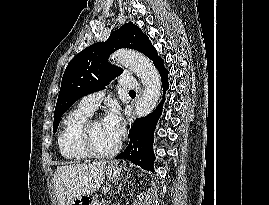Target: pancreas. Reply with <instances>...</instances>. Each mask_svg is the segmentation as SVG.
Returning <instances> with one entry per match:
<instances>
[{
    "label": "pancreas",
    "mask_w": 269,
    "mask_h": 205,
    "mask_svg": "<svg viewBox=\"0 0 269 205\" xmlns=\"http://www.w3.org/2000/svg\"><path fill=\"white\" fill-rule=\"evenodd\" d=\"M96 205H106V202L102 201V202L97 203Z\"/></svg>",
    "instance_id": "obj_1"
}]
</instances>
